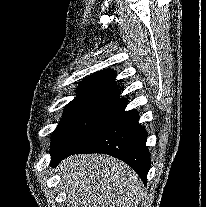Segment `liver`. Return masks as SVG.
I'll return each mask as SVG.
<instances>
[{"label": "liver", "instance_id": "6515ba94", "mask_svg": "<svg viewBox=\"0 0 206 207\" xmlns=\"http://www.w3.org/2000/svg\"><path fill=\"white\" fill-rule=\"evenodd\" d=\"M67 207H137L143 183L124 162L109 155H71L59 165Z\"/></svg>", "mask_w": 206, "mask_h": 207}]
</instances>
